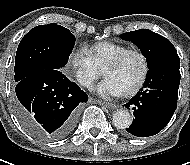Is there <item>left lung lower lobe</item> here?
Returning <instances> with one entry per match:
<instances>
[{
	"mask_svg": "<svg viewBox=\"0 0 190 165\" xmlns=\"http://www.w3.org/2000/svg\"><path fill=\"white\" fill-rule=\"evenodd\" d=\"M180 59L170 58L149 68L140 92L127 104L133 109V122L126 131L137 137L160 132L171 120L177 107L180 83Z\"/></svg>",
	"mask_w": 190,
	"mask_h": 165,
	"instance_id": "0a47b994",
	"label": "left lung lower lobe"
}]
</instances>
